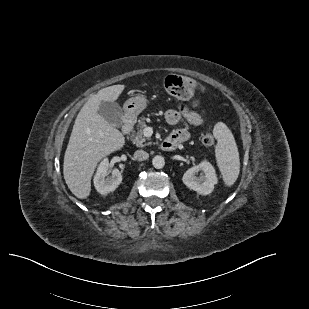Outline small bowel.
Wrapping results in <instances>:
<instances>
[{"label": "small bowel", "mask_w": 309, "mask_h": 309, "mask_svg": "<svg viewBox=\"0 0 309 309\" xmlns=\"http://www.w3.org/2000/svg\"><path fill=\"white\" fill-rule=\"evenodd\" d=\"M181 116H184L188 122L194 126H199L202 124V118L200 115L184 106H180L178 109H168L165 113V119L171 125L177 124ZM170 137L177 139L179 143H182L188 140L189 133L186 129H177L171 134Z\"/></svg>", "instance_id": "1"}]
</instances>
